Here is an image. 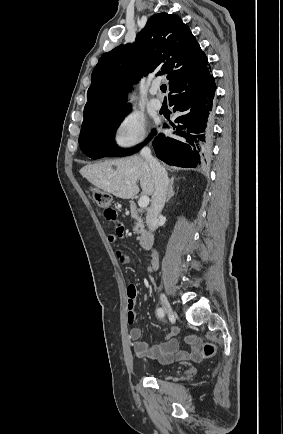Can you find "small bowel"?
<instances>
[{
  "mask_svg": "<svg viewBox=\"0 0 283 434\" xmlns=\"http://www.w3.org/2000/svg\"><path fill=\"white\" fill-rule=\"evenodd\" d=\"M104 216L107 220L116 222V227L108 234V240L110 242H116L123 237V225L117 221V213L113 208L104 209ZM121 256V253H119ZM125 262H129L126 258ZM156 267V262L153 261L147 271L151 272ZM137 288L135 285L130 284L127 287V322L131 326L129 331V337L132 341V347L135 355L138 358L158 359L162 363H170L176 361H198L201 359V341L195 335H188L184 341L188 350H179V344L175 336L179 333L178 327H173L170 334L165 340L159 344L150 346L147 342L141 340L142 330L136 326V304Z\"/></svg>",
  "mask_w": 283,
  "mask_h": 434,
  "instance_id": "c3829d8e",
  "label": "small bowel"
}]
</instances>
